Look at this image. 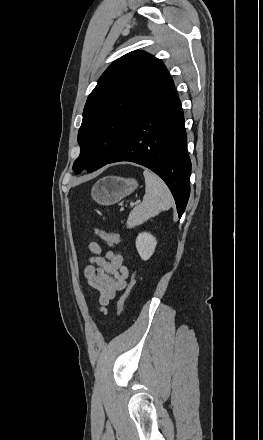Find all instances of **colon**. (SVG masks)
I'll use <instances>...</instances> for the list:
<instances>
[{
	"label": "colon",
	"instance_id": "colon-1",
	"mask_svg": "<svg viewBox=\"0 0 263 440\" xmlns=\"http://www.w3.org/2000/svg\"><path fill=\"white\" fill-rule=\"evenodd\" d=\"M92 230L97 235H99L107 244H109L111 246L112 245H117V244L120 243V239H119V237L116 234H114V233H112V232H110V231H108V230H106V229H104V228H102L100 226H93ZM133 284H134V282L131 281L130 284L125 289L123 295L120 298L119 307H120L121 311L123 310V308H124V306H125V304H126V302L128 300V297L130 295V292H131V289L133 287Z\"/></svg>",
	"mask_w": 263,
	"mask_h": 440
}]
</instances>
